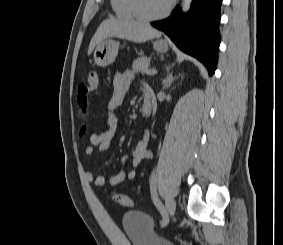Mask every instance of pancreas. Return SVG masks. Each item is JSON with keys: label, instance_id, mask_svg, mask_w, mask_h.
<instances>
[{"label": "pancreas", "instance_id": "1", "mask_svg": "<svg viewBox=\"0 0 283 245\" xmlns=\"http://www.w3.org/2000/svg\"><path fill=\"white\" fill-rule=\"evenodd\" d=\"M150 65V58L141 57L133 61L132 68L136 73H146Z\"/></svg>", "mask_w": 283, "mask_h": 245}]
</instances>
